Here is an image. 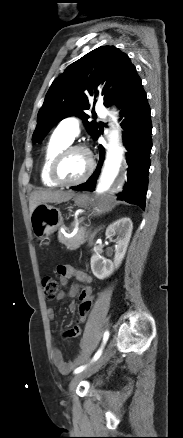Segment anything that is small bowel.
<instances>
[{
	"label": "small bowel",
	"mask_w": 183,
	"mask_h": 438,
	"mask_svg": "<svg viewBox=\"0 0 183 438\" xmlns=\"http://www.w3.org/2000/svg\"><path fill=\"white\" fill-rule=\"evenodd\" d=\"M57 272L59 274L60 283L63 286H66L68 284V281L70 278L74 277L77 282L74 283L67 291H61L57 295V300H64L68 297L73 298L75 296H79V299H81L82 296L92 295V289L90 286H84L81 287L80 283L84 284H90L92 282V277L83 269L76 268L70 265H59L57 267ZM76 303L71 302L69 305L70 309H75ZM48 317L50 320H53L55 318V312L53 309L48 310ZM81 333V327L76 324L70 329L66 331L67 337H77ZM86 356H82L79 358H76L72 361H66L63 357V354L60 350L55 349L53 351V362L56 365V367L63 373L68 374L70 373L78 364H80Z\"/></svg>",
	"instance_id": "obj_1"
}]
</instances>
